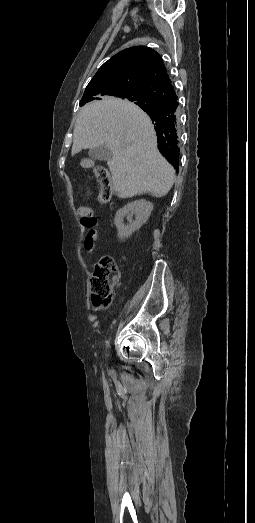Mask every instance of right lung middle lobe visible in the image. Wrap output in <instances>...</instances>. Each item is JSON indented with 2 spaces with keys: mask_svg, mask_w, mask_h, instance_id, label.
Instances as JSON below:
<instances>
[{
  "mask_svg": "<svg viewBox=\"0 0 255 523\" xmlns=\"http://www.w3.org/2000/svg\"><path fill=\"white\" fill-rule=\"evenodd\" d=\"M115 97L126 98L130 101L140 102L143 108H150L153 105V98L146 92L136 89L124 90L116 95Z\"/></svg>",
  "mask_w": 255,
  "mask_h": 523,
  "instance_id": "right-lung-middle-lobe-1",
  "label": "right lung middle lobe"
}]
</instances>
